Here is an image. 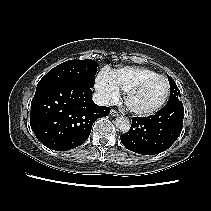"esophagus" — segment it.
Wrapping results in <instances>:
<instances>
[{"label": "esophagus", "instance_id": "34e87169", "mask_svg": "<svg viewBox=\"0 0 211 211\" xmlns=\"http://www.w3.org/2000/svg\"><path fill=\"white\" fill-rule=\"evenodd\" d=\"M110 114H111L112 116H114V117L119 115L118 111H116L115 109H112V110L110 111Z\"/></svg>", "mask_w": 211, "mask_h": 211}]
</instances>
